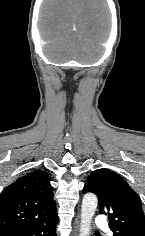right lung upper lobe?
I'll use <instances>...</instances> for the list:
<instances>
[{
  "label": "right lung upper lobe",
  "mask_w": 145,
  "mask_h": 236,
  "mask_svg": "<svg viewBox=\"0 0 145 236\" xmlns=\"http://www.w3.org/2000/svg\"><path fill=\"white\" fill-rule=\"evenodd\" d=\"M57 216L47 172L20 177L0 195V232L30 227Z\"/></svg>",
  "instance_id": "1"
}]
</instances>
